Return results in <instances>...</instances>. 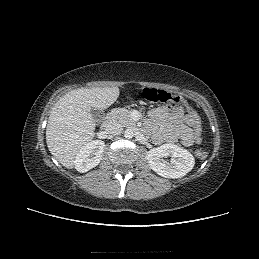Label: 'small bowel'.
<instances>
[{"mask_svg":"<svg viewBox=\"0 0 259 259\" xmlns=\"http://www.w3.org/2000/svg\"><path fill=\"white\" fill-rule=\"evenodd\" d=\"M189 109V107L177 105L173 108L158 107L150 110L148 126L154 132L156 140L170 143L181 142L186 146L193 145L195 143L193 141L194 129L190 122Z\"/></svg>","mask_w":259,"mask_h":259,"instance_id":"small-bowel-1","label":"small bowel"}]
</instances>
